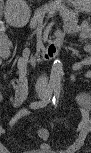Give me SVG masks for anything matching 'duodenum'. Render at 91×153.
Listing matches in <instances>:
<instances>
[{
	"label": "duodenum",
	"mask_w": 91,
	"mask_h": 153,
	"mask_svg": "<svg viewBox=\"0 0 91 153\" xmlns=\"http://www.w3.org/2000/svg\"><path fill=\"white\" fill-rule=\"evenodd\" d=\"M63 43L62 36L56 37L45 49L31 55L30 60L34 64H43L56 56Z\"/></svg>",
	"instance_id": "obj_1"
}]
</instances>
